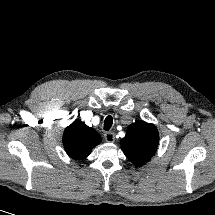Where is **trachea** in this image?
<instances>
[{"label": "trachea", "instance_id": "trachea-1", "mask_svg": "<svg viewBox=\"0 0 215 215\" xmlns=\"http://www.w3.org/2000/svg\"><path fill=\"white\" fill-rule=\"evenodd\" d=\"M113 123V118L109 115L104 120V130L108 131Z\"/></svg>", "mask_w": 215, "mask_h": 215}]
</instances>
